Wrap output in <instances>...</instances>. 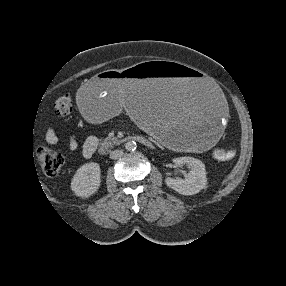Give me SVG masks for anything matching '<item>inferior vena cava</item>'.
I'll return each instance as SVG.
<instances>
[{
    "instance_id": "602c4592",
    "label": "inferior vena cava",
    "mask_w": 286,
    "mask_h": 286,
    "mask_svg": "<svg viewBox=\"0 0 286 286\" xmlns=\"http://www.w3.org/2000/svg\"><path fill=\"white\" fill-rule=\"evenodd\" d=\"M123 155V150H114L110 152L111 159H118Z\"/></svg>"
}]
</instances>
